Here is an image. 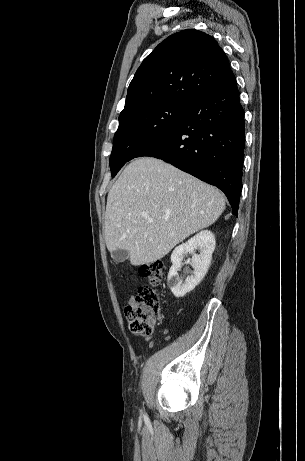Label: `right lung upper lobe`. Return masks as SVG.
<instances>
[{
	"instance_id": "cb5924a9",
	"label": "right lung upper lobe",
	"mask_w": 305,
	"mask_h": 461,
	"mask_svg": "<svg viewBox=\"0 0 305 461\" xmlns=\"http://www.w3.org/2000/svg\"><path fill=\"white\" fill-rule=\"evenodd\" d=\"M232 77L228 59L213 37L183 30L166 38L143 60L119 118L159 103L189 104Z\"/></svg>"
}]
</instances>
